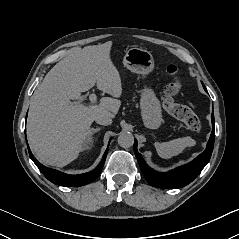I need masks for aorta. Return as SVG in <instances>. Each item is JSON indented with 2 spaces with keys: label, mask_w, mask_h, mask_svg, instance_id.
I'll list each match as a JSON object with an SVG mask.
<instances>
[{
  "label": "aorta",
  "mask_w": 239,
  "mask_h": 239,
  "mask_svg": "<svg viewBox=\"0 0 239 239\" xmlns=\"http://www.w3.org/2000/svg\"><path fill=\"white\" fill-rule=\"evenodd\" d=\"M118 144L122 148H130L134 144V136L130 132H122L118 136Z\"/></svg>",
  "instance_id": "aorta-1"
}]
</instances>
